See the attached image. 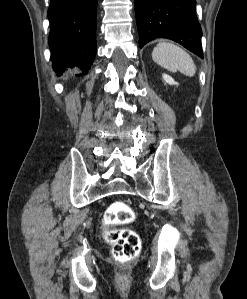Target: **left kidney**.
Listing matches in <instances>:
<instances>
[{
	"label": "left kidney",
	"instance_id": "5707ae66",
	"mask_svg": "<svg viewBox=\"0 0 247 299\" xmlns=\"http://www.w3.org/2000/svg\"><path fill=\"white\" fill-rule=\"evenodd\" d=\"M162 77H163V80H164L166 83H168V84H170V85H178V83L175 82L174 79H173L171 76H169V75H167V74H163Z\"/></svg>",
	"mask_w": 247,
	"mask_h": 299
}]
</instances>
